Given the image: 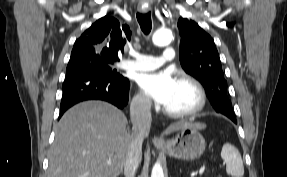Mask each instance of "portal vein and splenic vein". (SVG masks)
Segmentation results:
<instances>
[{
  "mask_svg": "<svg viewBox=\"0 0 287 177\" xmlns=\"http://www.w3.org/2000/svg\"><path fill=\"white\" fill-rule=\"evenodd\" d=\"M108 164H111V161H110V160L108 161ZM205 169H206V165L203 164V165L201 166V168L199 169L198 174H199V175H202V174L204 173Z\"/></svg>",
  "mask_w": 287,
  "mask_h": 177,
  "instance_id": "1",
  "label": "portal vein and splenic vein"
}]
</instances>
